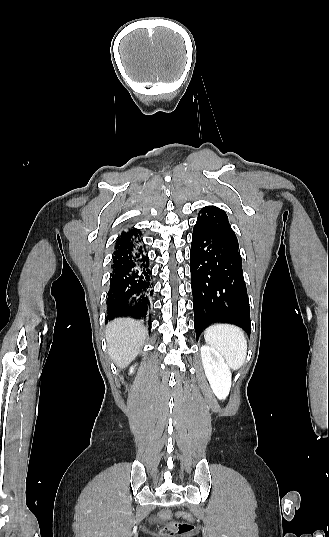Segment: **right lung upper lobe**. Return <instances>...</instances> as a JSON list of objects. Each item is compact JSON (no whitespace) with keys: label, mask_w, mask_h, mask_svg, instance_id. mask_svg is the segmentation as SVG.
I'll list each match as a JSON object with an SVG mask.
<instances>
[{"label":"right lung upper lobe","mask_w":329,"mask_h":537,"mask_svg":"<svg viewBox=\"0 0 329 537\" xmlns=\"http://www.w3.org/2000/svg\"><path fill=\"white\" fill-rule=\"evenodd\" d=\"M137 231H138V229H130V230L127 231V232H124V231H123V232L121 233V236H120V237L127 236V235L132 234V233H135V232H137Z\"/></svg>","instance_id":"1"}]
</instances>
